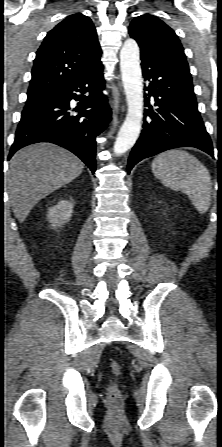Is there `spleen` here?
Returning <instances> with one entry per match:
<instances>
[{
    "label": "spleen",
    "mask_w": 222,
    "mask_h": 447,
    "mask_svg": "<svg viewBox=\"0 0 222 447\" xmlns=\"http://www.w3.org/2000/svg\"><path fill=\"white\" fill-rule=\"evenodd\" d=\"M154 175L167 187L188 195L200 214L211 202V177L207 168L186 151L172 149L152 161Z\"/></svg>",
    "instance_id": "spleen-1"
}]
</instances>
